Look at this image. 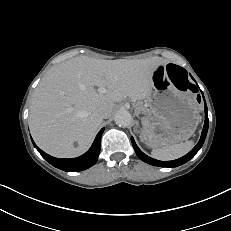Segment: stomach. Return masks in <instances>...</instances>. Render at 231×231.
<instances>
[{
	"label": "stomach",
	"mask_w": 231,
	"mask_h": 231,
	"mask_svg": "<svg viewBox=\"0 0 231 231\" xmlns=\"http://www.w3.org/2000/svg\"><path fill=\"white\" fill-rule=\"evenodd\" d=\"M152 90L146 100L148 109L143 129L152 148L180 143L191 137L200 122V105L188 91L169 78L166 65L152 71Z\"/></svg>",
	"instance_id": "1"
}]
</instances>
